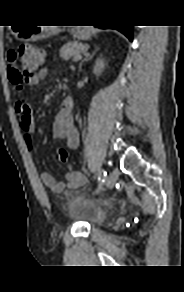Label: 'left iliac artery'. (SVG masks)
Segmentation results:
<instances>
[{
    "label": "left iliac artery",
    "mask_w": 184,
    "mask_h": 292,
    "mask_svg": "<svg viewBox=\"0 0 184 292\" xmlns=\"http://www.w3.org/2000/svg\"><path fill=\"white\" fill-rule=\"evenodd\" d=\"M107 173L106 171H104L103 169H98V172H97V176H98V188H97V191L101 189L104 181H105V177H106Z\"/></svg>",
    "instance_id": "obj_1"
}]
</instances>
